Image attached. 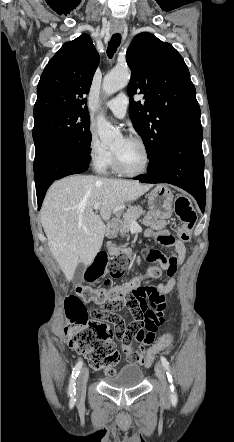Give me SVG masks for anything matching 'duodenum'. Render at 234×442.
Here are the masks:
<instances>
[{
    "label": "duodenum",
    "mask_w": 234,
    "mask_h": 442,
    "mask_svg": "<svg viewBox=\"0 0 234 442\" xmlns=\"http://www.w3.org/2000/svg\"><path fill=\"white\" fill-rule=\"evenodd\" d=\"M117 230L118 225L115 222L108 223L106 226V235L112 237L117 233Z\"/></svg>",
    "instance_id": "obj_1"
}]
</instances>
